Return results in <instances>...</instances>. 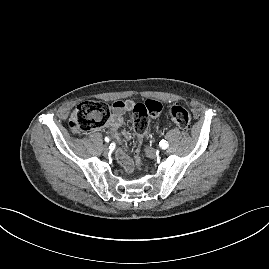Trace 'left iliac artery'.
<instances>
[{
    "instance_id": "left-iliac-artery-1",
    "label": "left iliac artery",
    "mask_w": 269,
    "mask_h": 269,
    "mask_svg": "<svg viewBox=\"0 0 269 269\" xmlns=\"http://www.w3.org/2000/svg\"><path fill=\"white\" fill-rule=\"evenodd\" d=\"M168 146H169V144H168V142H167L166 140H161V141H160V147H161L162 149H167Z\"/></svg>"
}]
</instances>
